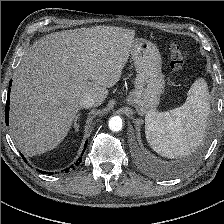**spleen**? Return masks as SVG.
I'll use <instances>...</instances> for the list:
<instances>
[{
  "label": "spleen",
  "instance_id": "1",
  "mask_svg": "<svg viewBox=\"0 0 224 224\" xmlns=\"http://www.w3.org/2000/svg\"><path fill=\"white\" fill-rule=\"evenodd\" d=\"M185 103L170 111L150 110L145 117V135L151 148L167 158L188 155L200 145L207 127L210 102L207 83L197 79Z\"/></svg>",
  "mask_w": 224,
  "mask_h": 224
}]
</instances>
